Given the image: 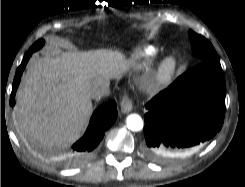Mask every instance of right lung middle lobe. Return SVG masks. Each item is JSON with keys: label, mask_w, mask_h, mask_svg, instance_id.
Returning a JSON list of instances; mask_svg holds the SVG:
<instances>
[{"label": "right lung middle lobe", "mask_w": 245, "mask_h": 187, "mask_svg": "<svg viewBox=\"0 0 245 187\" xmlns=\"http://www.w3.org/2000/svg\"><path fill=\"white\" fill-rule=\"evenodd\" d=\"M44 45V40H38L37 42H35L29 50H33V51H37L39 50L42 46Z\"/></svg>", "instance_id": "dd1d6c3e"}]
</instances>
